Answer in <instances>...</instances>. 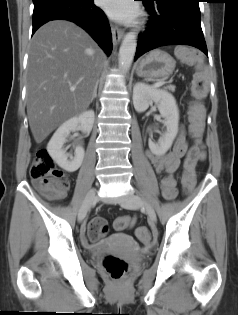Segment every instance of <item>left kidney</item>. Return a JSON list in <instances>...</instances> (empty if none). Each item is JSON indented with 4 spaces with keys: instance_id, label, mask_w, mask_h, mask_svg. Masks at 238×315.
Wrapping results in <instances>:
<instances>
[{
    "instance_id": "5707ae66",
    "label": "left kidney",
    "mask_w": 238,
    "mask_h": 315,
    "mask_svg": "<svg viewBox=\"0 0 238 315\" xmlns=\"http://www.w3.org/2000/svg\"><path fill=\"white\" fill-rule=\"evenodd\" d=\"M153 102L157 104L164 119L165 133L158 140L148 142L151 152L157 156L164 155L172 146L178 132L179 110L173 95L145 83H137L133 88V104L137 112H144Z\"/></svg>"
}]
</instances>
